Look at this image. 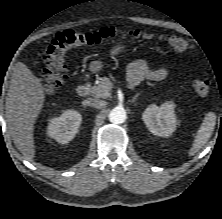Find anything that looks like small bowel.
I'll list each match as a JSON object with an SVG mask.
<instances>
[{
  "label": "small bowel",
  "mask_w": 222,
  "mask_h": 219,
  "mask_svg": "<svg viewBox=\"0 0 222 219\" xmlns=\"http://www.w3.org/2000/svg\"><path fill=\"white\" fill-rule=\"evenodd\" d=\"M168 74L166 67L152 69L143 59L131 62L127 67V79L131 85H138L145 80L160 81Z\"/></svg>",
  "instance_id": "obj_1"
}]
</instances>
